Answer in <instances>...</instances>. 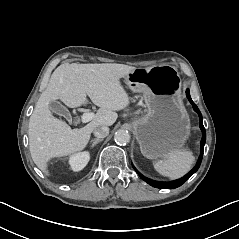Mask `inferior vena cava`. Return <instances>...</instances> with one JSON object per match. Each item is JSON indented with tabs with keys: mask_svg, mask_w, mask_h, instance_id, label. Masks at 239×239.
<instances>
[{
	"mask_svg": "<svg viewBox=\"0 0 239 239\" xmlns=\"http://www.w3.org/2000/svg\"><path fill=\"white\" fill-rule=\"evenodd\" d=\"M93 133L98 138H104V137L108 136V134H109V127L104 126V125L97 126L94 129Z\"/></svg>",
	"mask_w": 239,
	"mask_h": 239,
	"instance_id": "obj_1",
	"label": "inferior vena cava"
}]
</instances>
